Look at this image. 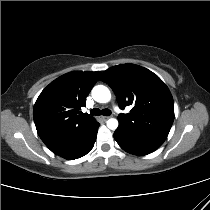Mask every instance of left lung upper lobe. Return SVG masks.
I'll list each match as a JSON object with an SVG mask.
<instances>
[{
  "instance_id": "left-lung-upper-lobe-1",
  "label": "left lung upper lobe",
  "mask_w": 210,
  "mask_h": 210,
  "mask_svg": "<svg viewBox=\"0 0 210 210\" xmlns=\"http://www.w3.org/2000/svg\"><path fill=\"white\" fill-rule=\"evenodd\" d=\"M114 91L119 107L132 105L130 113L118 116V131L164 142L174 120L172 95L153 72L134 64L107 69L100 77Z\"/></svg>"
}]
</instances>
